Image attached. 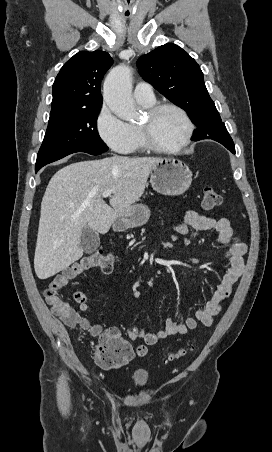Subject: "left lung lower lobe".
Here are the masks:
<instances>
[{"instance_id":"1","label":"left lung lower lobe","mask_w":272,"mask_h":452,"mask_svg":"<svg viewBox=\"0 0 272 452\" xmlns=\"http://www.w3.org/2000/svg\"><path fill=\"white\" fill-rule=\"evenodd\" d=\"M193 139V138H192ZM194 140V139H193ZM199 140V139H198ZM194 141H197V140H194ZM217 142H219V143H221L222 145H224L228 150H230L232 153H235V149L233 148V146H232V142H233V140H232V138L231 137H229V138H224V139H221V140H219V141H217ZM233 145H234V143H233ZM235 147V146H234Z\"/></svg>"}]
</instances>
